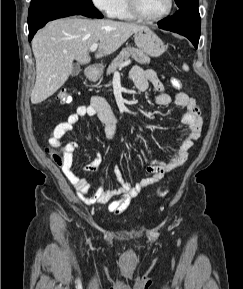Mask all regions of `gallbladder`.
Returning <instances> with one entry per match:
<instances>
[{
	"mask_svg": "<svg viewBox=\"0 0 243 289\" xmlns=\"http://www.w3.org/2000/svg\"><path fill=\"white\" fill-rule=\"evenodd\" d=\"M80 72H81V67L79 65H75L73 66L71 75L77 76Z\"/></svg>",
	"mask_w": 243,
	"mask_h": 289,
	"instance_id": "gallbladder-1",
	"label": "gallbladder"
}]
</instances>
